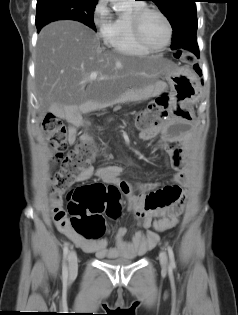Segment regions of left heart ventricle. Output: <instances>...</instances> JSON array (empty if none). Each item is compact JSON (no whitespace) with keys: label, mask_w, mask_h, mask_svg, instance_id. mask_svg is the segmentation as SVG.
<instances>
[{"label":"left heart ventricle","mask_w":238,"mask_h":315,"mask_svg":"<svg viewBox=\"0 0 238 315\" xmlns=\"http://www.w3.org/2000/svg\"><path fill=\"white\" fill-rule=\"evenodd\" d=\"M142 35L147 43L158 47L167 40V27L163 19L155 14H147L142 21Z\"/></svg>","instance_id":"b2bd125f"}]
</instances>
